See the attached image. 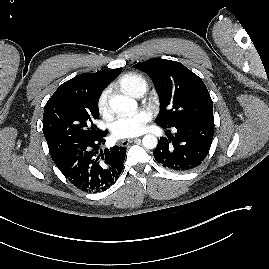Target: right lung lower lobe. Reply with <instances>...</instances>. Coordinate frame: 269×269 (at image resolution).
Segmentation results:
<instances>
[{
	"label": "right lung lower lobe",
	"mask_w": 269,
	"mask_h": 269,
	"mask_svg": "<svg viewBox=\"0 0 269 269\" xmlns=\"http://www.w3.org/2000/svg\"><path fill=\"white\" fill-rule=\"evenodd\" d=\"M107 131L95 139L78 143L53 160L62 174L85 192H100L113 185L123 170L125 147L101 151Z\"/></svg>",
	"instance_id": "1"
}]
</instances>
